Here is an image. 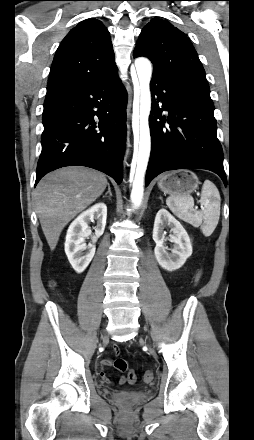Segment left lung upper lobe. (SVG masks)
<instances>
[{
  "label": "left lung upper lobe",
  "instance_id": "5c2ea615",
  "mask_svg": "<svg viewBox=\"0 0 254 440\" xmlns=\"http://www.w3.org/2000/svg\"><path fill=\"white\" fill-rule=\"evenodd\" d=\"M144 56L153 71L167 76L171 84L211 100L204 68L190 39L169 22L157 17L142 29L133 57Z\"/></svg>",
  "mask_w": 254,
  "mask_h": 440
}]
</instances>
